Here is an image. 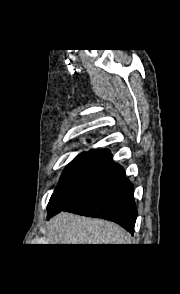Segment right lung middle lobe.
Segmentation results:
<instances>
[{"label": "right lung middle lobe", "mask_w": 180, "mask_h": 294, "mask_svg": "<svg viewBox=\"0 0 180 294\" xmlns=\"http://www.w3.org/2000/svg\"><path fill=\"white\" fill-rule=\"evenodd\" d=\"M96 150H90L89 152H82L72 162H70L67 168L64 170L60 184L56 187L53 195L50 198L48 206L54 201V199L60 194L67 186H69L80 172L85 163L91 158Z\"/></svg>", "instance_id": "dd1d6c3e"}]
</instances>
